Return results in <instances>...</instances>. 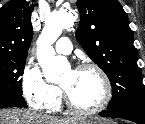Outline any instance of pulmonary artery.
I'll list each match as a JSON object with an SVG mask.
<instances>
[{"instance_id": "obj_1", "label": "pulmonary artery", "mask_w": 145, "mask_h": 124, "mask_svg": "<svg viewBox=\"0 0 145 124\" xmlns=\"http://www.w3.org/2000/svg\"><path fill=\"white\" fill-rule=\"evenodd\" d=\"M55 50L59 54H70L72 51V43L67 37H61L55 45Z\"/></svg>"}]
</instances>
